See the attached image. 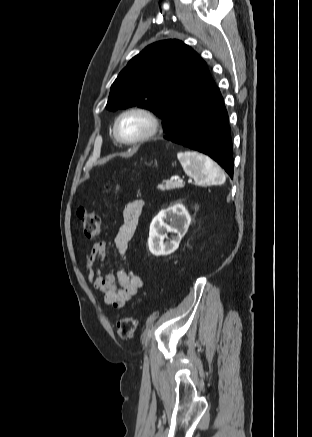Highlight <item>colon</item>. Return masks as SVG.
Wrapping results in <instances>:
<instances>
[{
  "mask_svg": "<svg viewBox=\"0 0 312 437\" xmlns=\"http://www.w3.org/2000/svg\"><path fill=\"white\" fill-rule=\"evenodd\" d=\"M118 185L109 183L106 186V192L110 195H115L118 192ZM78 218L81 223L84 234L88 237H98L101 233V222L98 215L85 208H79L77 211ZM137 327V320L133 316H126L119 320L117 324V332L121 339L129 340L134 336Z\"/></svg>",
  "mask_w": 312,
  "mask_h": 437,
  "instance_id": "1",
  "label": "colon"
}]
</instances>
